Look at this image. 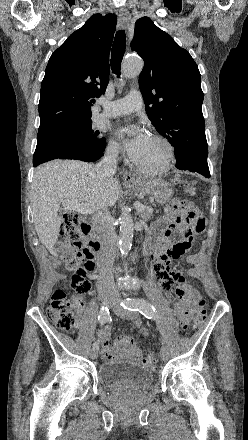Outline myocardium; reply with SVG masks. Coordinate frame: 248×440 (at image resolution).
<instances>
[{"instance_id": "myocardium-1", "label": "myocardium", "mask_w": 248, "mask_h": 440, "mask_svg": "<svg viewBox=\"0 0 248 440\" xmlns=\"http://www.w3.org/2000/svg\"><path fill=\"white\" fill-rule=\"evenodd\" d=\"M151 138L156 140L157 142H159L165 150V158H164L163 163L158 167L150 168V167L141 166L135 162L134 167L137 171L144 173V174H148V175L163 174L170 169V167L173 163V160L175 157L174 148H173L172 144L170 143V141L162 135L153 134L151 136Z\"/></svg>"}]
</instances>
